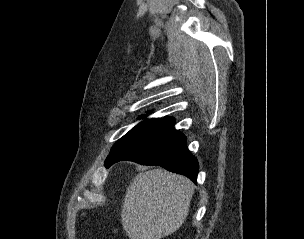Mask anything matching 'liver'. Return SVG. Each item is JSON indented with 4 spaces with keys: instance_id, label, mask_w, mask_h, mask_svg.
<instances>
[{
    "instance_id": "6515ba94",
    "label": "liver",
    "mask_w": 304,
    "mask_h": 239,
    "mask_svg": "<svg viewBox=\"0 0 304 239\" xmlns=\"http://www.w3.org/2000/svg\"><path fill=\"white\" fill-rule=\"evenodd\" d=\"M194 192L186 177L157 168L137 174L127 188L121 222L130 239H161L184 222Z\"/></svg>"
}]
</instances>
